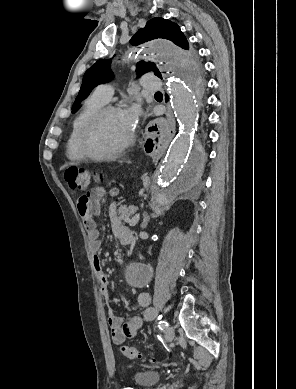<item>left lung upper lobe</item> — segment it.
<instances>
[{"label":"left lung upper lobe","mask_w":296,"mask_h":389,"mask_svg":"<svg viewBox=\"0 0 296 389\" xmlns=\"http://www.w3.org/2000/svg\"><path fill=\"white\" fill-rule=\"evenodd\" d=\"M156 38L168 39L183 49H189L186 37L180 30V27L177 24L160 17L153 18L148 21L146 26L139 29L138 32L131 38L130 43L137 46ZM110 63L111 59H100L85 72L81 89L72 106L73 113L78 110V105L82 99L86 98L94 87L112 79L113 73L110 69ZM150 70L154 71L155 75L162 78L161 73L154 63H145L143 61L137 63L136 71L138 76ZM201 71V65L197 62L195 56H193L192 72L194 75H199Z\"/></svg>","instance_id":"obj_1"}]
</instances>
